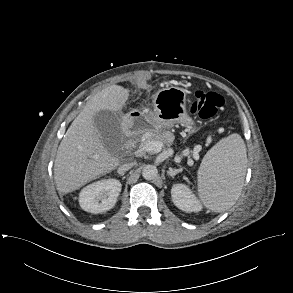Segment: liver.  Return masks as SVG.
<instances>
[{
  "mask_svg": "<svg viewBox=\"0 0 293 293\" xmlns=\"http://www.w3.org/2000/svg\"><path fill=\"white\" fill-rule=\"evenodd\" d=\"M128 96L127 89L111 85L95 94L72 122L58 147L54 164L59 193L73 192L120 164L119 158L105 147L93 118L101 110L120 111Z\"/></svg>",
  "mask_w": 293,
  "mask_h": 293,
  "instance_id": "6515ba94",
  "label": "liver"
}]
</instances>
